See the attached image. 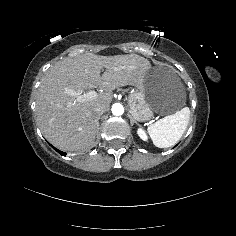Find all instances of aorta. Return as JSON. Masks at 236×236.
Instances as JSON below:
<instances>
[{
    "instance_id": "762f6f07",
    "label": "aorta",
    "mask_w": 236,
    "mask_h": 236,
    "mask_svg": "<svg viewBox=\"0 0 236 236\" xmlns=\"http://www.w3.org/2000/svg\"><path fill=\"white\" fill-rule=\"evenodd\" d=\"M123 112H124V108L120 103L113 104V106H112L113 115L120 116L123 114Z\"/></svg>"
}]
</instances>
